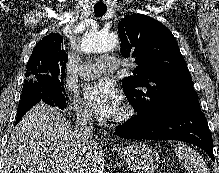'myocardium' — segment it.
<instances>
[{"mask_svg": "<svg viewBox=\"0 0 219 173\" xmlns=\"http://www.w3.org/2000/svg\"><path fill=\"white\" fill-rule=\"evenodd\" d=\"M134 114L135 110L133 105L129 102H124L120 108L119 113L113 117L112 122L116 125L125 124L132 119Z\"/></svg>", "mask_w": 219, "mask_h": 173, "instance_id": "myocardium-1", "label": "myocardium"}]
</instances>
